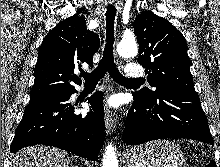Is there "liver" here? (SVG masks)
<instances>
[{
	"mask_svg": "<svg viewBox=\"0 0 220 167\" xmlns=\"http://www.w3.org/2000/svg\"><path fill=\"white\" fill-rule=\"evenodd\" d=\"M9 167H69V158L56 148L32 146L12 154Z\"/></svg>",
	"mask_w": 220,
	"mask_h": 167,
	"instance_id": "1",
	"label": "liver"
}]
</instances>
